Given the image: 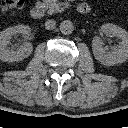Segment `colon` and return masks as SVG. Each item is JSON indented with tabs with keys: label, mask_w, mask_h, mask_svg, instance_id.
<instances>
[{
	"label": "colon",
	"mask_w": 128,
	"mask_h": 128,
	"mask_svg": "<svg viewBox=\"0 0 128 128\" xmlns=\"http://www.w3.org/2000/svg\"><path fill=\"white\" fill-rule=\"evenodd\" d=\"M24 0H2L1 9L8 15H14L18 9L22 7Z\"/></svg>",
	"instance_id": "1"
}]
</instances>
